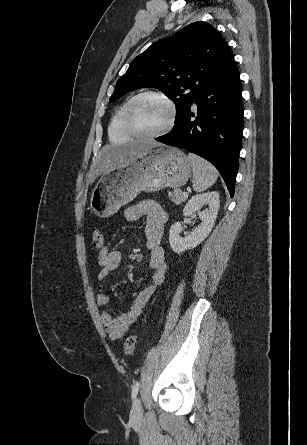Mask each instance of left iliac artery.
<instances>
[{
    "mask_svg": "<svg viewBox=\"0 0 307 445\" xmlns=\"http://www.w3.org/2000/svg\"><path fill=\"white\" fill-rule=\"evenodd\" d=\"M139 382H136L134 385H133V387H132V399H135L136 398V396H137V394H138V391H139Z\"/></svg>",
    "mask_w": 307,
    "mask_h": 445,
    "instance_id": "44dca946",
    "label": "left iliac artery"
}]
</instances>
